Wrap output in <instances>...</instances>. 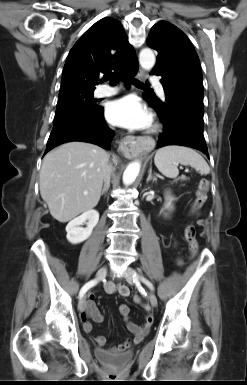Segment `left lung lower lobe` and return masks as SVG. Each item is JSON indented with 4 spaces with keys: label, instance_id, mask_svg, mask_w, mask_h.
<instances>
[{
    "label": "left lung lower lobe",
    "instance_id": "0a47b994",
    "mask_svg": "<svg viewBox=\"0 0 247 385\" xmlns=\"http://www.w3.org/2000/svg\"><path fill=\"white\" fill-rule=\"evenodd\" d=\"M151 74L162 76L160 81L165 92L164 102L147 101L164 124V132L160 134L158 146H189L208 156L203 135V101L179 89L162 71H152Z\"/></svg>",
    "mask_w": 247,
    "mask_h": 385
}]
</instances>
